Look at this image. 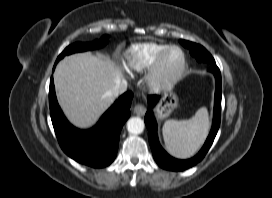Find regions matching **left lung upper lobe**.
<instances>
[{"mask_svg":"<svg viewBox=\"0 0 272 198\" xmlns=\"http://www.w3.org/2000/svg\"><path fill=\"white\" fill-rule=\"evenodd\" d=\"M184 47L188 48L190 50V53L192 56H194L198 61L200 62H210L213 65H215V60L212 57V55L201 45L180 40L179 41Z\"/></svg>","mask_w":272,"mask_h":198,"instance_id":"1","label":"left lung upper lobe"}]
</instances>
